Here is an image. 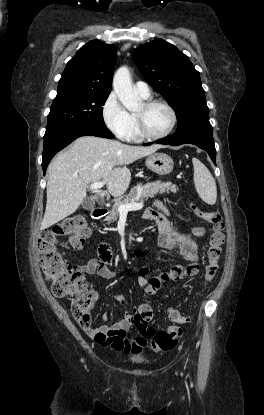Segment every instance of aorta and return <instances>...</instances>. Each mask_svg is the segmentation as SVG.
<instances>
[{
	"mask_svg": "<svg viewBox=\"0 0 264 415\" xmlns=\"http://www.w3.org/2000/svg\"><path fill=\"white\" fill-rule=\"evenodd\" d=\"M113 88L121 103L129 111L141 105V99L132 87L130 71L126 66L120 67L113 77Z\"/></svg>",
	"mask_w": 264,
	"mask_h": 415,
	"instance_id": "1",
	"label": "aorta"
}]
</instances>
